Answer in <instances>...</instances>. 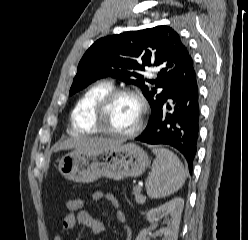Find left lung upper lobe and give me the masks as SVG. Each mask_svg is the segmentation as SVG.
I'll return each instance as SVG.
<instances>
[{"instance_id":"left-lung-upper-lobe-1","label":"left lung upper lobe","mask_w":248,"mask_h":240,"mask_svg":"<svg viewBox=\"0 0 248 240\" xmlns=\"http://www.w3.org/2000/svg\"><path fill=\"white\" fill-rule=\"evenodd\" d=\"M146 66L158 67L156 79H144ZM194 73L193 59L179 34L161 25L97 40L79 62L69 95L111 76L140 87L153 116L169 93ZM146 82L154 86L149 87Z\"/></svg>"}]
</instances>
